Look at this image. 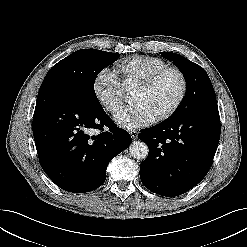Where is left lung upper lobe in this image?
Segmentation results:
<instances>
[{"mask_svg": "<svg viewBox=\"0 0 247 247\" xmlns=\"http://www.w3.org/2000/svg\"><path fill=\"white\" fill-rule=\"evenodd\" d=\"M161 55L179 68L187 85L186 95L179 109L171 118L193 110L217 107L212 83L202 67L179 54L161 52Z\"/></svg>", "mask_w": 247, "mask_h": 247, "instance_id": "left-lung-upper-lobe-1", "label": "left lung upper lobe"}]
</instances>
